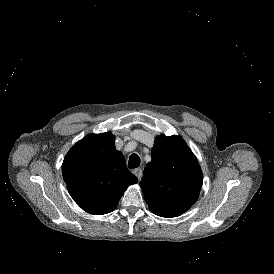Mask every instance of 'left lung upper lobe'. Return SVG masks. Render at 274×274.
<instances>
[{
    "mask_svg": "<svg viewBox=\"0 0 274 274\" xmlns=\"http://www.w3.org/2000/svg\"><path fill=\"white\" fill-rule=\"evenodd\" d=\"M140 187L154 213L181 214L198 199L202 187L200 165L180 136L156 137Z\"/></svg>",
    "mask_w": 274,
    "mask_h": 274,
    "instance_id": "5c2ea615",
    "label": "left lung upper lobe"
}]
</instances>
